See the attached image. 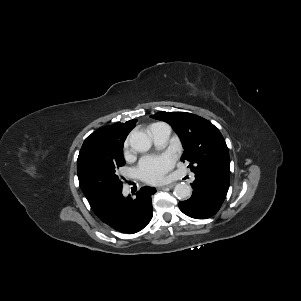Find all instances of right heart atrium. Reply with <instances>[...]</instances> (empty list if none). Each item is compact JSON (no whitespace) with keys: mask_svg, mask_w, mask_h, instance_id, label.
Wrapping results in <instances>:
<instances>
[{"mask_svg":"<svg viewBox=\"0 0 301 301\" xmlns=\"http://www.w3.org/2000/svg\"><path fill=\"white\" fill-rule=\"evenodd\" d=\"M127 148H128V141L126 140V141H125V144H124L125 155H127V154H128V152H127Z\"/></svg>","mask_w":301,"mask_h":301,"instance_id":"obj_1","label":"right heart atrium"}]
</instances>
